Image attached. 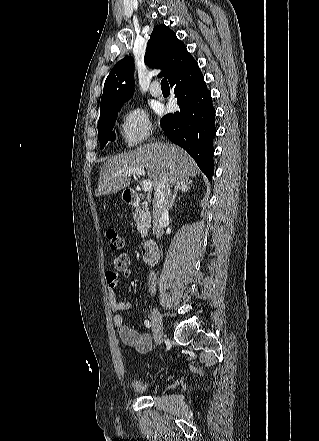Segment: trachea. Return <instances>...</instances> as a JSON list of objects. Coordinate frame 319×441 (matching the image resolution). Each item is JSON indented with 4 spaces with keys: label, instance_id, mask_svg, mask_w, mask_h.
<instances>
[{
    "label": "trachea",
    "instance_id": "obj_1",
    "mask_svg": "<svg viewBox=\"0 0 319 441\" xmlns=\"http://www.w3.org/2000/svg\"><path fill=\"white\" fill-rule=\"evenodd\" d=\"M161 87L162 88H169V83H168L167 79H162Z\"/></svg>",
    "mask_w": 319,
    "mask_h": 441
}]
</instances>
